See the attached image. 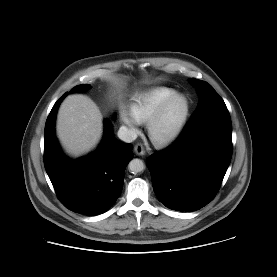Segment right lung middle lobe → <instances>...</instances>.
<instances>
[{"label": "right lung middle lobe", "mask_w": 277, "mask_h": 277, "mask_svg": "<svg viewBox=\"0 0 277 277\" xmlns=\"http://www.w3.org/2000/svg\"><path fill=\"white\" fill-rule=\"evenodd\" d=\"M89 88H90V85L82 84V85L75 86L70 92H82ZM66 95H68V92L65 93L63 96L65 97Z\"/></svg>", "instance_id": "dd1d6c3e"}]
</instances>
